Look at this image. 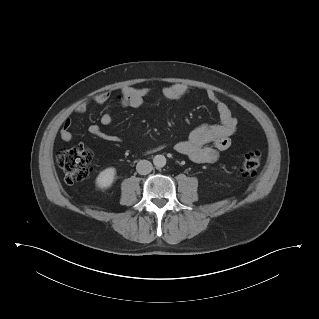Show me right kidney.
<instances>
[{
  "label": "right kidney",
  "instance_id": "obj_1",
  "mask_svg": "<svg viewBox=\"0 0 319 319\" xmlns=\"http://www.w3.org/2000/svg\"><path fill=\"white\" fill-rule=\"evenodd\" d=\"M115 174L116 169L113 167L104 169L97 176L96 185L101 189L110 187L115 179Z\"/></svg>",
  "mask_w": 319,
  "mask_h": 319
}]
</instances>
